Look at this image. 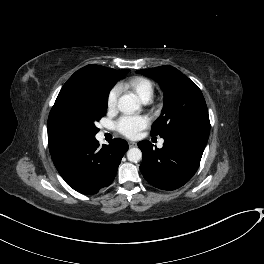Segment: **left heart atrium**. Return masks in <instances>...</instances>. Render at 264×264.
Returning a JSON list of instances; mask_svg holds the SVG:
<instances>
[{"instance_id": "left-heart-atrium-1", "label": "left heart atrium", "mask_w": 264, "mask_h": 264, "mask_svg": "<svg viewBox=\"0 0 264 264\" xmlns=\"http://www.w3.org/2000/svg\"><path fill=\"white\" fill-rule=\"evenodd\" d=\"M150 123L146 116H122L117 120L116 129L126 137L135 138L140 131L146 128Z\"/></svg>"}]
</instances>
